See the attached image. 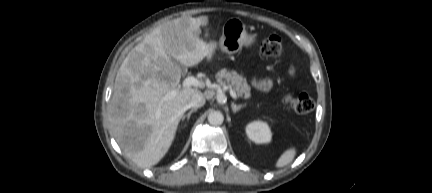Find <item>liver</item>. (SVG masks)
Returning <instances> with one entry per match:
<instances>
[{"instance_id":"obj_1","label":"liver","mask_w":432,"mask_h":193,"mask_svg":"<svg viewBox=\"0 0 432 193\" xmlns=\"http://www.w3.org/2000/svg\"><path fill=\"white\" fill-rule=\"evenodd\" d=\"M207 17H181L155 28L126 56L115 78L109 115L113 135L139 167L156 165L168 152L196 88H179L181 69L210 60L216 43L200 38ZM178 90L176 96L167 94Z\"/></svg>"}]
</instances>
